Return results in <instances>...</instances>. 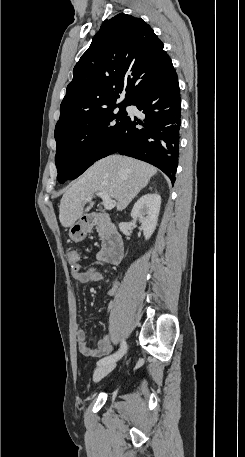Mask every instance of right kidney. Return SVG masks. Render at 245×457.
I'll list each match as a JSON object with an SVG mask.
<instances>
[{
  "instance_id": "right-kidney-1",
  "label": "right kidney",
  "mask_w": 245,
  "mask_h": 457,
  "mask_svg": "<svg viewBox=\"0 0 245 457\" xmlns=\"http://www.w3.org/2000/svg\"><path fill=\"white\" fill-rule=\"evenodd\" d=\"M160 204V194H158V192H152V194L151 192H148V194H143L141 198H138L131 210L132 218L141 222L143 235L146 241L147 239H150L156 229Z\"/></svg>"
}]
</instances>
